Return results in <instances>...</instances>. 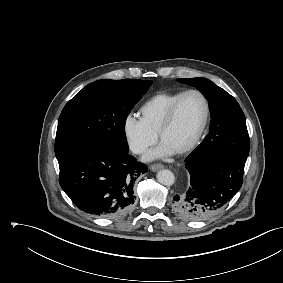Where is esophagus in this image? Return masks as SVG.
<instances>
[{
    "instance_id": "34e87169",
    "label": "esophagus",
    "mask_w": 283,
    "mask_h": 283,
    "mask_svg": "<svg viewBox=\"0 0 283 283\" xmlns=\"http://www.w3.org/2000/svg\"><path fill=\"white\" fill-rule=\"evenodd\" d=\"M162 168H164L163 164H152V165H150V170L153 171V172H155L159 169H162Z\"/></svg>"
}]
</instances>
